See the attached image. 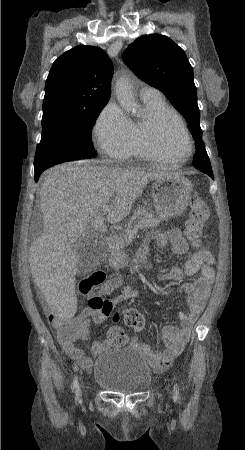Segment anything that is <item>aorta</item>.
<instances>
[{
    "mask_svg": "<svg viewBox=\"0 0 245 450\" xmlns=\"http://www.w3.org/2000/svg\"><path fill=\"white\" fill-rule=\"evenodd\" d=\"M115 94L119 104L128 112H135L132 87L128 79L120 78L115 85Z\"/></svg>",
    "mask_w": 245,
    "mask_h": 450,
    "instance_id": "aorta-1",
    "label": "aorta"
}]
</instances>
